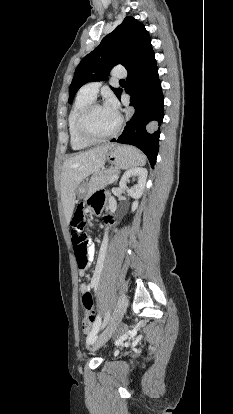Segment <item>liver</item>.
<instances>
[{
	"mask_svg": "<svg viewBox=\"0 0 233 414\" xmlns=\"http://www.w3.org/2000/svg\"><path fill=\"white\" fill-rule=\"evenodd\" d=\"M113 146L114 144L97 146L64 161L61 171V201L67 221H70L73 214L79 184L104 166L106 154Z\"/></svg>",
	"mask_w": 233,
	"mask_h": 414,
	"instance_id": "6515ba94",
	"label": "liver"
}]
</instances>
